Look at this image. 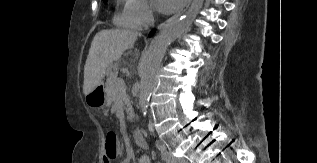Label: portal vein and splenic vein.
<instances>
[{
    "mask_svg": "<svg viewBox=\"0 0 317 163\" xmlns=\"http://www.w3.org/2000/svg\"><path fill=\"white\" fill-rule=\"evenodd\" d=\"M117 86H118L120 89H124V87H125L124 81H123L122 79H119V80L117 81Z\"/></svg>",
    "mask_w": 317,
    "mask_h": 163,
    "instance_id": "18ae733b",
    "label": "portal vein and splenic vein"
}]
</instances>
